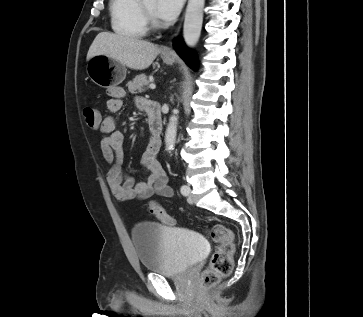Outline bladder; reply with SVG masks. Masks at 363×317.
Returning a JSON list of instances; mask_svg holds the SVG:
<instances>
[{
	"label": "bladder",
	"mask_w": 363,
	"mask_h": 317,
	"mask_svg": "<svg viewBox=\"0 0 363 317\" xmlns=\"http://www.w3.org/2000/svg\"><path fill=\"white\" fill-rule=\"evenodd\" d=\"M132 242L141 267L160 275L181 274L209 251L207 240L200 232L156 222L135 225Z\"/></svg>",
	"instance_id": "bladder-1"
}]
</instances>
